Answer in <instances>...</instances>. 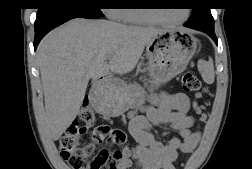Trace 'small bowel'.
<instances>
[{
  "label": "small bowel",
  "mask_w": 252,
  "mask_h": 169,
  "mask_svg": "<svg viewBox=\"0 0 252 169\" xmlns=\"http://www.w3.org/2000/svg\"><path fill=\"white\" fill-rule=\"evenodd\" d=\"M149 105L128 115V131L137 145L114 152L113 169H129L133 160L137 169H176L178 152L195 149L200 135L191 131L194 119L189 115L190 100L183 92L152 93ZM153 125L167 126L177 132L164 145L151 132ZM102 140L93 135V143Z\"/></svg>",
  "instance_id": "c3829d8e"
}]
</instances>
